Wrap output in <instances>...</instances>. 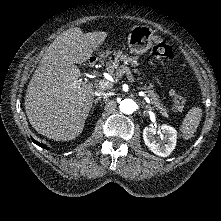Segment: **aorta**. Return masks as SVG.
<instances>
[{
    "mask_svg": "<svg viewBox=\"0 0 221 221\" xmlns=\"http://www.w3.org/2000/svg\"><path fill=\"white\" fill-rule=\"evenodd\" d=\"M136 103L132 99H124L120 102V111L124 114H132L136 110Z\"/></svg>",
    "mask_w": 221,
    "mask_h": 221,
    "instance_id": "obj_1",
    "label": "aorta"
}]
</instances>
